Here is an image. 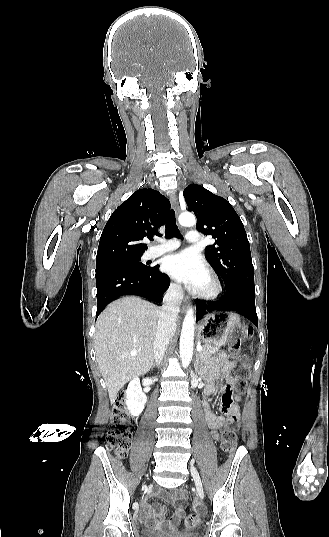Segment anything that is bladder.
Segmentation results:
<instances>
[{
	"instance_id": "1",
	"label": "bladder",
	"mask_w": 329,
	"mask_h": 537,
	"mask_svg": "<svg viewBox=\"0 0 329 537\" xmlns=\"http://www.w3.org/2000/svg\"><path fill=\"white\" fill-rule=\"evenodd\" d=\"M142 533L144 537H198V532L195 530L175 532V533H164L160 531L143 530Z\"/></svg>"
}]
</instances>
